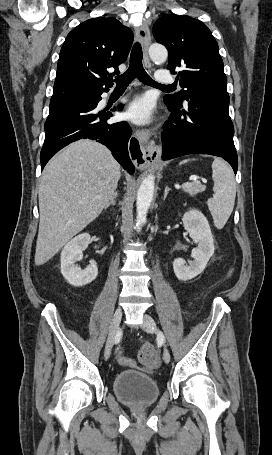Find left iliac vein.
Masks as SVG:
<instances>
[{
	"label": "left iliac vein",
	"mask_w": 272,
	"mask_h": 455,
	"mask_svg": "<svg viewBox=\"0 0 272 455\" xmlns=\"http://www.w3.org/2000/svg\"><path fill=\"white\" fill-rule=\"evenodd\" d=\"M142 328L144 331L149 333L156 332V323L151 316L147 314L144 315V322L142 324ZM163 359L165 363L170 362V353L166 346H164Z\"/></svg>",
	"instance_id": "left-iliac-vein-1"
}]
</instances>
